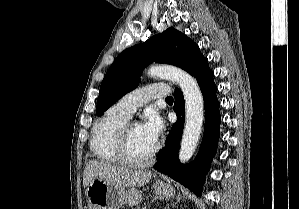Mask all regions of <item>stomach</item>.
<instances>
[{"mask_svg": "<svg viewBox=\"0 0 299 209\" xmlns=\"http://www.w3.org/2000/svg\"><path fill=\"white\" fill-rule=\"evenodd\" d=\"M155 198L169 199L175 195V189L162 181L153 185ZM89 209H120L125 204L138 206L142 200V192L135 189L116 186L103 179H93L86 189Z\"/></svg>", "mask_w": 299, "mask_h": 209, "instance_id": "0dacf381", "label": "stomach"}]
</instances>
